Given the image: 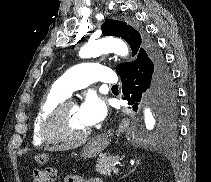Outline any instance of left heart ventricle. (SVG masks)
Wrapping results in <instances>:
<instances>
[{
	"label": "left heart ventricle",
	"mask_w": 211,
	"mask_h": 182,
	"mask_svg": "<svg viewBox=\"0 0 211 182\" xmlns=\"http://www.w3.org/2000/svg\"><path fill=\"white\" fill-rule=\"evenodd\" d=\"M88 128L79 116V108L76 105L68 106L62 120L63 131L70 135H78Z\"/></svg>",
	"instance_id": "1"
}]
</instances>
